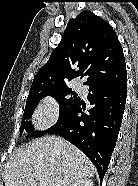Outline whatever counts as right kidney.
<instances>
[{
  "label": "right kidney",
  "mask_w": 138,
  "mask_h": 186,
  "mask_svg": "<svg viewBox=\"0 0 138 186\" xmlns=\"http://www.w3.org/2000/svg\"><path fill=\"white\" fill-rule=\"evenodd\" d=\"M70 186H93V183L87 178H81L74 181Z\"/></svg>",
  "instance_id": "right-kidney-1"
}]
</instances>
